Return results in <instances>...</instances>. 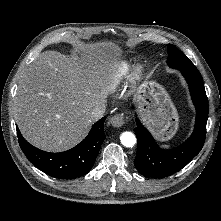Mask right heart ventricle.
Segmentation results:
<instances>
[{
	"instance_id": "e07e8e85",
	"label": "right heart ventricle",
	"mask_w": 221,
	"mask_h": 221,
	"mask_svg": "<svg viewBox=\"0 0 221 221\" xmlns=\"http://www.w3.org/2000/svg\"><path fill=\"white\" fill-rule=\"evenodd\" d=\"M128 66L124 65L123 68L120 71L119 77L116 78L115 83H117L119 81V78H121L122 76H124L127 72Z\"/></svg>"
}]
</instances>
